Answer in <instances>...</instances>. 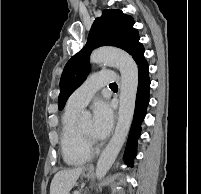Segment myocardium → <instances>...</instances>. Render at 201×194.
<instances>
[{"label": "myocardium", "instance_id": "obj_1", "mask_svg": "<svg viewBox=\"0 0 201 194\" xmlns=\"http://www.w3.org/2000/svg\"><path fill=\"white\" fill-rule=\"evenodd\" d=\"M78 130H79V133L83 139V142L85 143V145L89 148H91V146L93 145V140L91 138L90 135H88L87 133H85L80 126H78Z\"/></svg>", "mask_w": 201, "mask_h": 194}]
</instances>
